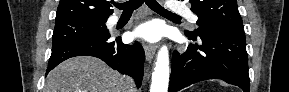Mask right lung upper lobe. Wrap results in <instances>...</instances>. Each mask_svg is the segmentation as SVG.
Segmentation results:
<instances>
[{
  "label": "right lung upper lobe",
  "mask_w": 289,
  "mask_h": 92,
  "mask_svg": "<svg viewBox=\"0 0 289 92\" xmlns=\"http://www.w3.org/2000/svg\"><path fill=\"white\" fill-rule=\"evenodd\" d=\"M110 7L106 0H60L56 23L78 19L107 21L113 13Z\"/></svg>",
  "instance_id": "cb5924a9"
}]
</instances>
